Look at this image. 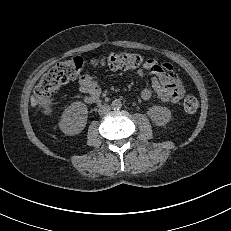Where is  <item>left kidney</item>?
<instances>
[{
    "label": "left kidney",
    "instance_id": "1",
    "mask_svg": "<svg viewBox=\"0 0 231 231\" xmlns=\"http://www.w3.org/2000/svg\"><path fill=\"white\" fill-rule=\"evenodd\" d=\"M151 120L158 126L166 125L171 119V111L162 106H152L147 112Z\"/></svg>",
    "mask_w": 231,
    "mask_h": 231
}]
</instances>
